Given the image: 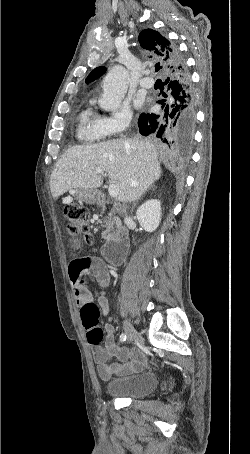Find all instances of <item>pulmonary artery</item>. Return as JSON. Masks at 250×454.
<instances>
[{
  "label": "pulmonary artery",
  "mask_w": 250,
  "mask_h": 454,
  "mask_svg": "<svg viewBox=\"0 0 250 454\" xmlns=\"http://www.w3.org/2000/svg\"><path fill=\"white\" fill-rule=\"evenodd\" d=\"M139 84L142 88H149V87L153 86L154 79L151 77H144L140 80Z\"/></svg>",
  "instance_id": "1"
}]
</instances>
